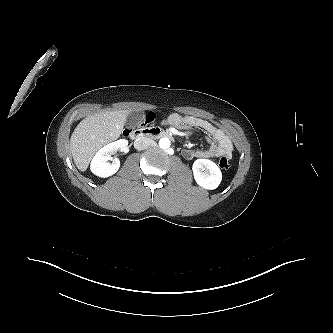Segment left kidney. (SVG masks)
<instances>
[{
    "label": "left kidney",
    "mask_w": 333,
    "mask_h": 333,
    "mask_svg": "<svg viewBox=\"0 0 333 333\" xmlns=\"http://www.w3.org/2000/svg\"><path fill=\"white\" fill-rule=\"evenodd\" d=\"M194 179L204 189H216L222 180L219 167L208 159H197L193 163Z\"/></svg>",
    "instance_id": "1"
}]
</instances>
